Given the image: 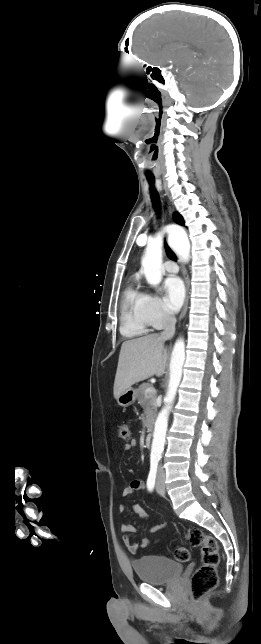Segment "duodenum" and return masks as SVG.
Masks as SVG:
<instances>
[{
    "mask_svg": "<svg viewBox=\"0 0 261 644\" xmlns=\"http://www.w3.org/2000/svg\"><path fill=\"white\" fill-rule=\"evenodd\" d=\"M152 439H153V434H152V433H148V434L145 436L144 444H145V446H146V447H150V446H151V444H152Z\"/></svg>",
    "mask_w": 261,
    "mask_h": 644,
    "instance_id": "1",
    "label": "duodenum"
}]
</instances>
